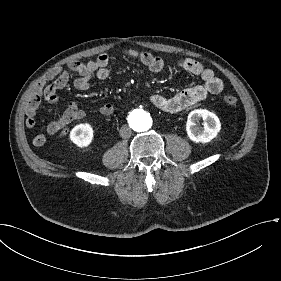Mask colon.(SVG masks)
<instances>
[{"label":"colon","instance_id":"1","mask_svg":"<svg viewBox=\"0 0 281 281\" xmlns=\"http://www.w3.org/2000/svg\"><path fill=\"white\" fill-rule=\"evenodd\" d=\"M224 103L228 106H234L237 103V98L232 95L224 96Z\"/></svg>","mask_w":281,"mask_h":281}]
</instances>
